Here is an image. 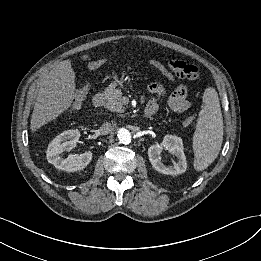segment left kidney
Masks as SVG:
<instances>
[{"label":"left kidney","mask_w":261,"mask_h":261,"mask_svg":"<svg viewBox=\"0 0 261 261\" xmlns=\"http://www.w3.org/2000/svg\"><path fill=\"white\" fill-rule=\"evenodd\" d=\"M163 149L177 158V162L173 161V166L163 164L160 154ZM183 141L175 135H166L161 144L152 145L148 149V157L151 165L155 170L166 175H178L184 173L187 168L186 157L184 154Z\"/></svg>","instance_id":"obj_1"}]
</instances>
